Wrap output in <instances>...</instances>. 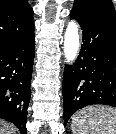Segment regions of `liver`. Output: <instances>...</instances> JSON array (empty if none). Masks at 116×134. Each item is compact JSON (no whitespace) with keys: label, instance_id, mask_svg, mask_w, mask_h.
Returning a JSON list of instances; mask_svg holds the SVG:
<instances>
[{"label":"liver","instance_id":"1","mask_svg":"<svg viewBox=\"0 0 116 134\" xmlns=\"http://www.w3.org/2000/svg\"><path fill=\"white\" fill-rule=\"evenodd\" d=\"M0 134H16V128L11 124L0 121Z\"/></svg>","mask_w":116,"mask_h":134}]
</instances>
